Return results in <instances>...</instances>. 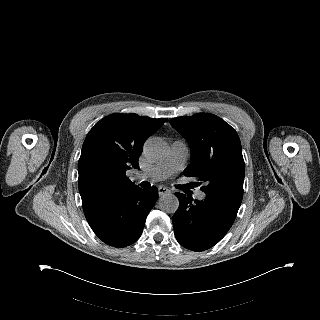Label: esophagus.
Wrapping results in <instances>:
<instances>
[{
  "label": "esophagus",
  "mask_w": 320,
  "mask_h": 320,
  "mask_svg": "<svg viewBox=\"0 0 320 320\" xmlns=\"http://www.w3.org/2000/svg\"><path fill=\"white\" fill-rule=\"evenodd\" d=\"M169 192H170V190L167 187H164V186H159L158 187L159 196H162V195L167 194Z\"/></svg>",
  "instance_id": "esophagus-1"
}]
</instances>
